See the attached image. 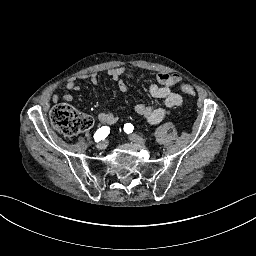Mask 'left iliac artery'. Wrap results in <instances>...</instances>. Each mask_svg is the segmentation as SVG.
I'll return each mask as SVG.
<instances>
[{"label":"left iliac artery","instance_id":"left-iliac-artery-1","mask_svg":"<svg viewBox=\"0 0 256 256\" xmlns=\"http://www.w3.org/2000/svg\"><path fill=\"white\" fill-rule=\"evenodd\" d=\"M133 130H134V127H133V125H132L131 123H126V124L124 125V131H125L127 134L132 133Z\"/></svg>","mask_w":256,"mask_h":256}]
</instances>
